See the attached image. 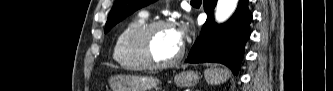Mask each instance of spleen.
Listing matches in <instances>:
<instances>
[{
    "label": "spleen",
    "instance_id": "obj_1",
    "mask_svg": "<svg viewBox=\"0 0 333 91\" xmlns=\"http://www.w3.org/2000/svg\"><path fill=\"white\" fill-rule=\"evenodd\" d=\"M230 75L228 70L222 68H210L205 70V78L209 84L217 85L225 82Z\"/></svg>",
    "mask_w": 333,
    "mask_h": 91
}]
</instances>
